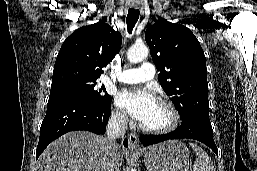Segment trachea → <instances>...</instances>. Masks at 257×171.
I'll return each instance as SVG.
<instances>
[{
	"label": "trachea",
	"instance_id": "1",
	"mask_svg": "<svg viewBox=\"0 0 257 171\" xmlns=\"http://www.w3.org/2000/svg\"><path fill=\"white\" fill-rule=\"evenodd\" d=\"M139 19V9L129 8L126 22L128 32L131 34L132 30Z\"/></svg>",
	"mask_w": 257,
	"mask_h": 171
}]
</instances>
